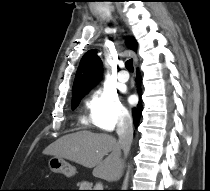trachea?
Wrapping results in <instances>:
<instances>
[{"mask_svg":"<svg viewBox=\"0 0 210 191\" xmlns=\"http://www.w3.org/2000/svg\"><path fill=\"white\" fill-rule=\"evenodd\" d=\"M125 66H126L127 70L134 71L133 59L127 60L126 63H125Z\"/></svg>","mask_w":210,"mask_h":191,"instance_id":"obj_1","label":"trachea"}]
</instances>
